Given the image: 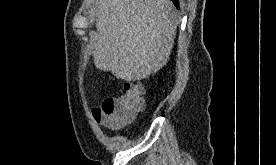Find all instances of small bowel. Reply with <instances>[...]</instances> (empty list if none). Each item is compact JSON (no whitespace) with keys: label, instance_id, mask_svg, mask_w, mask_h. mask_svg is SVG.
I'll list each match as a JSON object with an SVG mask.
<instances>
[{"label":"small bowel","instance_id":"1","mask_svg":"<svg viewBox=\"0 0 276 165\" xmlns=\"http://www.w3.org/2000/svg\"><path fill=\"white\" fill-rule=\"evenodd\" d=\"M93 116L102 125L108 126L110 124V121L108 119L102 117V115H101V107L95 108L93 110Z\"/></svg>","mask_w":276,"mask_h":165}]
</instances>
